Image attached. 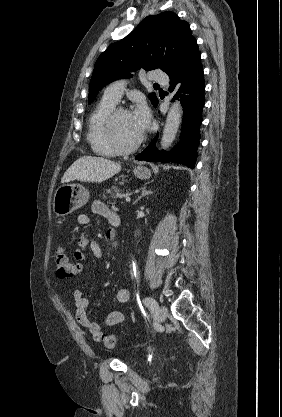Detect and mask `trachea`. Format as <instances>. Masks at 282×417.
I'll return each instance as SVG.
<instances>
[{"instance_id": "1", "label": "trachea", "mask_w": 282, "mask_h": 417, "mask_svg": "<svg viewBox=\"0 0 282 417\" xmlns=\"http://www.w3.org/2000/svg\"><path fill=\"white\" fill-rule=\"evenodd\" d=\"M154 86H159V84H154Z\"/></svg>"}]
</instances>
